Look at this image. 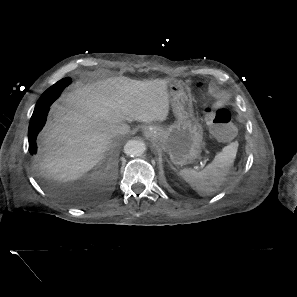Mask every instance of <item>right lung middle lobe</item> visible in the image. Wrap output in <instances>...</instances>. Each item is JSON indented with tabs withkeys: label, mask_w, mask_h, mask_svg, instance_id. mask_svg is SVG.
<instances>
[{
	"label": "right lung middle lobe",
	"mask_w": 297,
	"mask_h": 297,
	"mask_svg": "<svg viewBox=\"0 0 297 297\" xmlns=\"http://www.w3.org/2000/svg\"><path fill=\"white\" fill-rule=\"evenodd\" d=\"M70 83H71L70 78H64V79L58 81L57 83L52 85L50 88H48L43 93V95L41 96V98L39 100H41V102H43V103L50 101V100L53 102L55 99L58 98L61 91Z\"/></svg>",
	"instance_id": "1"
}]
</instances>
